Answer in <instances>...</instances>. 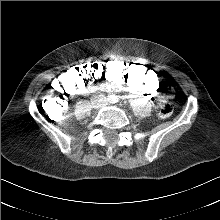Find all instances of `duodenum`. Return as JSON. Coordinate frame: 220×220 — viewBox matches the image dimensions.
Segmentation results:
<instances>
[{
    "mask_svg": "<svg viewBox=\"0 0 220 220\" xmlns=\"http://www.w3.org/2000/svg\"><path fill=\"white\" fill-rule=\"evenodd\" d=\"M84 90L86 92H96L100 90H106V88L104 86L86 85V87H84Z\"/></svg>",
    "mask_w": 220,
    "mask_h": 220,
    "instance_id": "1",
    "label": "duodenum"
}]
</instances>
